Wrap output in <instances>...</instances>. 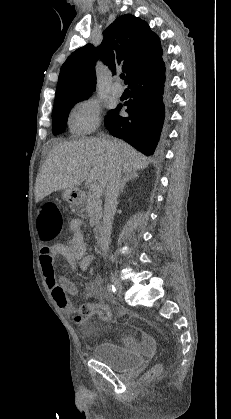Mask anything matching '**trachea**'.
Returning a JSON list of instances; mask_svg holds the SVG:
<instances>
[{
    "label": "trachea",
    "instance_id": "obj_1",
    "mask_svg": "<svg viewBox=\"0 0 231 419\" xmlns=\"http://www.w3.org/2000/svg\"><path fill=\"white\" fill-rule=\"evenodd\" d=\"M120 77H121V79H124L125 78V75H121Z\"/></svg>",
    "mask_w": 231,
    "mask_h": 419
}]
</instances>
